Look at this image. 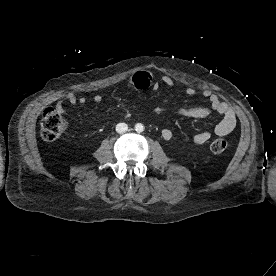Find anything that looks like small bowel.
Instances as JSON below:
<instances>
[{"label":"small bowel","instance_id":"1","mask_svg":"<svg viewBox=\"0 0 276 276\" xmlns=\"http://www.w3.org/2000/svg\"><path fill=\"white\" fill-rule=\"evenodd\" d=\"M160 81L169 87L174 86V80L167 75L161 77ZM128 85L131 88L137 90H145L150 87L158 86V81L155 79L154 75L147 70H141L136 72L132 78L129 80ZM197 93V90L193 87H187L185 89V94L187 96H194ZM202 96L207 98L210 102V108L207 107H181L178 108L177 113L185 118L190 119H202L211 114L212 111H215L222 115V120L215 126L214 133L217 136H226L231 133L236 126V114L233 108L223 102L216 94L211 92L210 90H204L202 92ZM101 95H95L93 97V101L95 103H100L102 101ZM85 97H78L74 93L69 92L62 95L56 102V110L60 113L64 112V103H69L71 105L77 104H85ZM162 137L165 140H171L173 137V133L170 129H164L162 131ZM211 137V133L209 132H200L194 135L193 140L197 144L206 143Z\"/></svg>","mask_w":276,"mask_h":276}]
</instances>
